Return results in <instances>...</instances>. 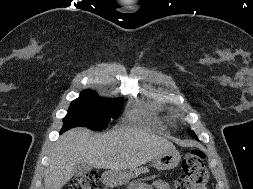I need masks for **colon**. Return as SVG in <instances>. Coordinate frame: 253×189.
<instances>
[{
	"mask_svg": "<svg viewBox=\"0 0 253 189\" xmlns=\"http://www.w3.org/2000/svg\"><path fill=\"white\" fill-rule=\"evenodd\" d=\"M205 153L200 149L188 152L182 161L183 174L174 183L175 189H201L208 180L205 164ZM99 173L88 172L73 178L66 189H99Z\"/></svg>",
	"mask_w": 253,
	"mask_h": 189,
	"instance_id": "5ec220e1",
	"label": "colon"
}]
</instances>
